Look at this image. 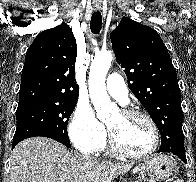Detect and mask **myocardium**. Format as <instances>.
<instances>
[{
    "label": "myocardium",
    "mask_w": 196,
    "mask_h": 182,
    "mask_svg": "<svg viewBox=\"0 0 196 182\" xmlns=\"http://www.w3.org/2000/svg\"><path fill=\"white\" fill-rule=\"evenodd\" d=\"M121 114L128 117H138L144 119L151 127L153 133V144L149 150L144 153H133L125 149L116 139L112 131L109 129V141L114 152L132 159H144L151 156L158 148L160 142V132L155 121L148 114L132 109H123Z\"/></svg>",
    "instance_id": "obj_1"
}]
</instances>
